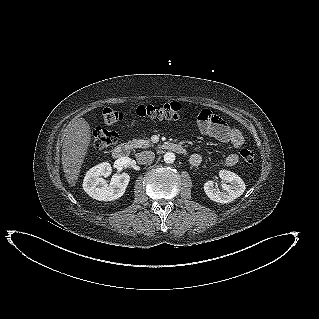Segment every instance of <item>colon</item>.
I'll use <instances>...</instances> for the list:
<instances>
[{"instance_id": "5ec220e1", "label": "colon", "mask_w": 319, "mask_h": 319, "mask_svg": "<svg viewBox=\"0 0 319 319\" xmlns=\"http://www.w3.org/2000/svg\"><path fill=\"white\" fill-rule=\"evenodd\" d=\"M206 110L202 111L199 118H202L206 114ZM133 116L141 119H167L178 120L186 117L182 113V105L177 102L165 103V104H149L138 106ZM103 122L107 126L115 125L124 119V115L110 107H106L102 111ZM117 141V134L113 131L105 128H96L92 133L91 146L96 150H105L113 145ZM241 157L247 163H253L255 160V153L252 149L244 148L241 150Z\"/></svg>"}]
</instances>
